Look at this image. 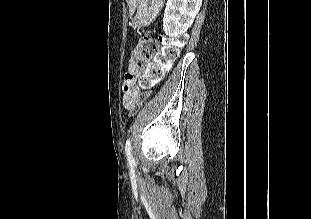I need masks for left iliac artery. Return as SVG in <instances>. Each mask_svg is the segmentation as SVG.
Returning <instances> with one entry per match:
<instances>
[{"mask_svg": "<svg viewBox=\"0 0 311 219\" xmlns=\"http://www.w3.org/2000/svg\"><path fill=\"white\" fill-rule=\"evenodd\" d=\"M125 154H126V157H127V160L130 164H133L135 163V160H134V157L132 155V149H131V139L128 138L126 140V143H125Z\"/></svg>", "mask_w": 311, "mask_h": 219, "instance_id": "1", "label": "left iliac artery"}]
</instances>
